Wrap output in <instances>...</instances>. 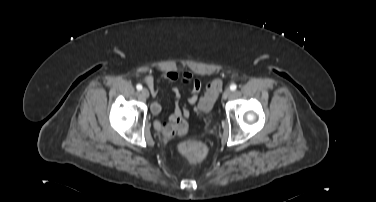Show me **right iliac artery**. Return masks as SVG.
<instances>
[{"instance_id": "right-iliac-artery-1", "label": "right iliac artery", "mask_w": 376, "mask_h": 202, "mask_svg": "<svg viewBox=\"0 0 376 202\" xmlns=\"http://www.w3.org/2000/svg\"><path fill=\"white\" fill-rule=\"evenodd\" d=\"M136 88H137V90H142V85L141 84H138L137 86H136Z\"/></svg>"}]
</instances>
